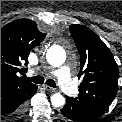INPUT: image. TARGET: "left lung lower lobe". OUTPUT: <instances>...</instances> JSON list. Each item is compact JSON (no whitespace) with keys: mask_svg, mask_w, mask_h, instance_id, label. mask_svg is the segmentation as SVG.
I'll return each mask as SVG.
<instances>
[{"mask_svg":"<svg viewBox=\"0 0 122 122\" xmlns=\"http://www.w3.org/2000/svg\"><path fill=\"white\" fill-rule=\"evenodd\" d=\"M65 106L61 109L63 116L71 121L92 122L99 118L105 110L78 98L66 97Z\"/></svg>","mask_w":122,"mask_h":122,"instance_id":"left-lung-lower-lobe-1","label":"left lung lower lobe"}]
</instances>
